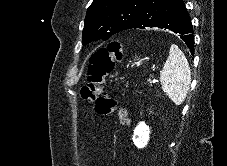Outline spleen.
<instances>
[{
    "mask_svg": "<svg viewBox=\"0 0 227 166\" xmlns=\"http://www.w3.org/2000/svg\"><path fill=\"white\" fill-rule=\"evenodd\" d=\"M162 90L175 105H181L191 83L188 61L177 45H171L169 56L160 73Z\"/></svg>",
    "mask_w": 227,
    "mask_h": 166,
    "instance_id": "obj_1",
    "label": "spleen"
}]
</instances>
